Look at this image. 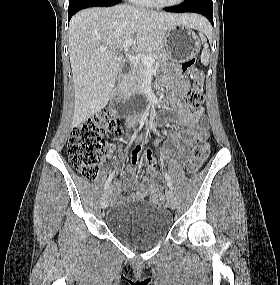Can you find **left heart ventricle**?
<instances>
[{"label":"left heart ventricle","instance_id":"obj_1","mask_svg":"<svg viewBox=\"0 0 280 285\" xmlns=\"http://www.w3.org/2000/svg\"><path fill=\"white\" fill-rule=\"evenodd\" d=\"M160 1L163 3H171V2H174L175 0H160Z\"/></svg>","mask_w":280,"mask_h":285}]
</instances>
